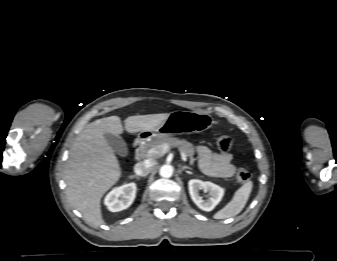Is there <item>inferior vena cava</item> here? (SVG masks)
I'll return each instance as SVG.
<instances>
[{
  "label": "inferior vena cava",
  "mask_w": 337,
  "mask_h": 261,
  "mask_svg": "<svg viewBox=\"0 0 337 261\" xmlns=\"http://www.w3.org/2000/svg\"><path fill=\"white\" fill-rule=\"evenodd\" d=\"M153 166V161L146 160L143 162H138L134 166V171L138 176H146L150 173V169Z\"/></svg>",
  "instance_id": "602c4592"
}]
</instances>
